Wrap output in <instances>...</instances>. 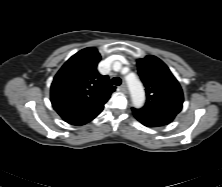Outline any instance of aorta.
<instances>
[{"label":"aorta","mask_w":222,"mask_h":187,"mask_svg":"<svg viewBox=\"0 0 222 187\" xmlns=\"http://www.w3.org/2000/svg\"><path fill=\"white\" fill-rule=\"evenodd\" d=\"M128 88L131 94L133 106L141 108L145 102V92L141 82L136 78L127 79Z\"/></svg>","instance_id":"aorta-1"}]
</instances>
